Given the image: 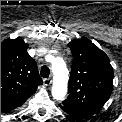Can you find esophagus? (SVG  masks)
Wrapping results in <instances>:
<instances>
[{"label":"esophagus","mask_w":122,"mask_h":122,"mask_svg":"<svg viewBox=\"0 0 122 122\" xmlns=\"http://www.w3.org/2000/svg\"><path fill=\"white\" fill-rule=\"evenodd\" d=\"M43 84L45 86H50L52 84V79L51 78H46L43 80Z\"/></svg>","instance_id":"34e87169"}]
</instances>
